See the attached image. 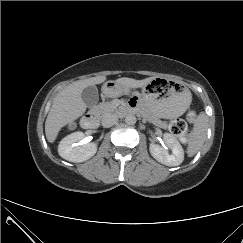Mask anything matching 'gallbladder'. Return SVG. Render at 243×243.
<instances>
[{"instance_id": "1", "label": "gallbladder", "mask_w": 243, "mask_h": 243, "mask_svg": "<svg viewBox=\"0 0 243 243\" xmlns=\"http://www.w3.org/2000/svg\"><path fill=\"white\" fill-rule=\"evenodd\" d=\"M82 100L87 107L95 106L99 100L98 89L96 86H88L81 93Z\"/></svg>"}]
</instances>
